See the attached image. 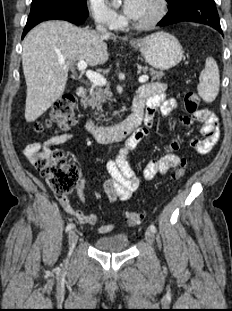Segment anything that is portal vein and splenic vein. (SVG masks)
I'll return each mask as SVG.
<instances>
[{
	"instance_id": "portal-vein-and-splenic-vein-1",
	"label": "portal vein and splenic vein",
	"mask_w": 232,
	"mask_h": 311,
	"mask_svg": "<svg viewBox=\"0 0 232 311\" xmlns=\"http://www.w3.org/2000/svg\"><path fill=\"white\" fill-rule=\"evenodd\" d=\"M59 64H64L65 63V59L63 58H60L58 60ZM77 67L79 70H86L87 68V63L83 60L79 61L77 63ZM86 77L96 86H105L107 81L106 79L99 73H96L94 71H91V70H87L86 71ZM139 82L140 83H145L149 80V77L147 75H142L139 77Z\"/></svg>"
}]
</instances>
